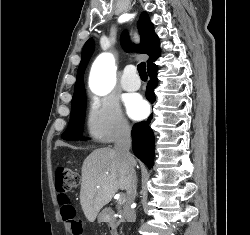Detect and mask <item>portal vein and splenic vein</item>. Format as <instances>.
I'll use <instances>...</instances> for the list:
<instances>
[{
    "label": "portal vein and splenic vein",
    "mask_w": 250,
    "mask_h": 235,
    "mask_svg": "<svg viewBox=\"0 0 250 235\" xmlns=\"http://www.w3.org/2000/svg\"><path fill=\"white\" fill-rule=\"evenodd\" d=\"M120 201H123V198H120V199H119V202H120Z\"/></svg>",
    "instance_id": "obj_1"
}]
</instances>
